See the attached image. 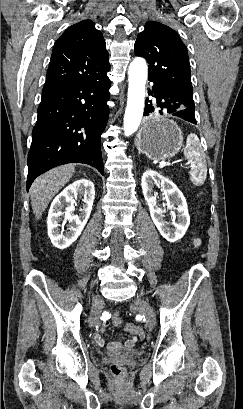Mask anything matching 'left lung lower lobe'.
<instances>
[{"label":"left lung lower lobe","instance_id":"1","mask_svg":"<svg viewBox=\"0 0 243 409\" xmlns=\"http://www.w3.org/2000/svg\"><path fill=\"white\" fill-rule=\"evenodd\" d=\"M149 81L154 83L149 94H154L156 105H153L151 101H149L150 104H148L147 101L144 109L145 116H148L154 111H159L160 114L167 112L191 123H197L194 114L195 106L193 96L166 86L153 79H149Z\"/></svg>","mask_w":243,"mask_h":409}]
</instances>
